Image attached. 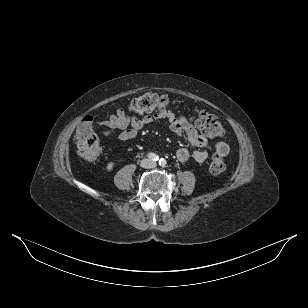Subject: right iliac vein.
Wrapping results in <instances>:
<instances>
[{
  "label": "right iliac vein",
  "instance_id": "right-iliac-vein-1",
  "mask_svg": "<svg viewBox=\"0 0 308 308\" xmlns=\"http://www.w3.org/2000/svg\"><path fill=\"white\" fill-rule=\"evenodd\" d=\"M141 167H148L149 166V161L144 159L140 162Z\"/></svg>",
  "mask_w": 308,
  "mask_h": 308
}]
</instances>
